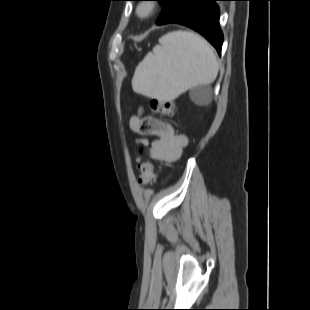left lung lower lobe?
<instances>
[{"label": "left lung lower lobe", "mask_w": 310, "mask_h": 310, "mask_svg": "<svg viewBox=\"0 0 310 310\" xmlns=\"http://www.w3.org/2000/svg\"><path fill=\"white\" fill-rule=\"evenodd\" d=\"M216 1L186 0L171 23L187 26L203 35L221 54L223 34L219 26V7Z\"/></svg>", "instance_id": "0a47b994"}]
</instances>
